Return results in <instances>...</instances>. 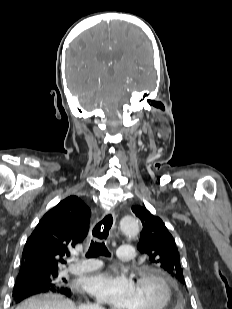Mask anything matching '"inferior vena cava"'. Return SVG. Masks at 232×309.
<instances>
[{
  "instance_id": "602c4592",
  "label": "inferior vena cava",
  "mask_w": 232,
  "mask_h": 309,
  "mask_svg": "<svg viewBox=\"0 0 232 309\" xmlns=\"http://www.w3.org/2000/svg\"><path fill=\"white\" fill-rule=\"evenodd\" d=\"M80 309H103V308L100 307L98 304H95V305L83 307V308H80Z\"/></svg>"
}]
</instances>
